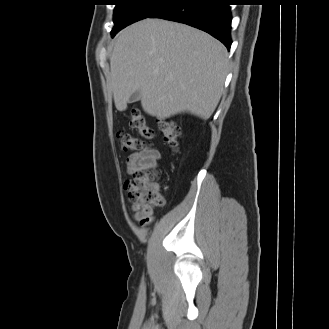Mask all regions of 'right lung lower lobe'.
Masks as SVG:
<instances>
[{
  "instance_id": "98d812e1",
  "label": "right lung lower lobe",
  "mask_w": 329,
  "mask_h": 329,
  "mask_svg": "<svg viewBox=\"0 0 329 329\" xmlns=\"http://www.w3.org/2000/svg\"><path fill=\"white\" fill-rule=\"evenodd\" d=\"M230 0H173L149 18H161L201 29L230 50Z\"/></svg>"
}]
</instances>
